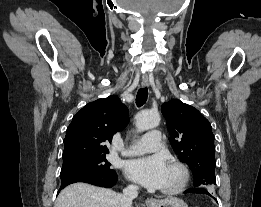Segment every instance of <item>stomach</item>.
<instances>
[{"label": "stomach", "instance_id": "1", "mask_svg": "<svg viewBox=\"0 0 261 207\" xmlns=\"http://www.w3.org/2000/svg\"><path fill=\"white\" fill-rule=\"evenodd\" d=\"M149 207H188L187 204L179 198L167 197L161 200H154Z\"/></svg>", "mask_w": 261, "mask_h": 207}]
</instances>
